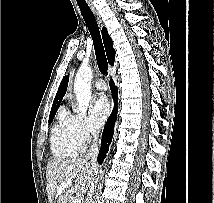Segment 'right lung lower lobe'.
<instances>
[{
    "instance_id": "right-lung-lower-lobe-1",
    "label": "right lung lower lobe",
    "mask_w": 214,
    "mask_h": 203,
    "mask_svg": "<svg viewBox=\"0 0 214 203\" xmlns=\"http://www.w3.org/2000/svg\"><path fill=\"white\" fill-rule=\"evenodd\" d=\"M110 89H111V91L114 95V98H115V105H114V109L112 111V114L108 118L106 126H105L104 131H103L102 141H101L102 148L100 149V152L98 155V163H100V164L103 162V160L106 157V153L108 152L109 145H110V143L112 141V137H113L114 125H115L116 118H117L118 89L114 85V82L112 79L110 80Z\"/></svg>"
}]
</instances>
